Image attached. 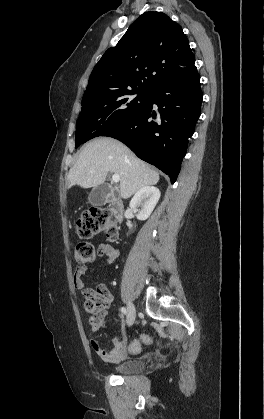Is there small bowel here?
<instances>
[{
    "instance_id": "obj_1",
    "label": "small bowel",
    "mask_w": 264,
    "mask_h": 419,
    "mask_svg": "<svg viewBox=\"0 0 264 419\" xmlns=\"http://www.w3.org/2000/svg\"><path fill=\"white\" fill-rule=\"evenodd\" d=\"M97 253L99 256L106 258L109 264H114L118 257L117 249L108 243H101L97 248ZM87 271V266H78L74 273L73 282L75 288L80 290L83 296L93 297L99 302L96 324L92 326V330L97 331L106 327V309L112 300V294L107 286L102 283L97 284L95 289L86 287L83 276ZM90 344L94 352L102 360L109 363H118L127 357L128 352H136L132 349L131 344L128 345L123 328H121L120 336L112 339V346L109 349L102 347L99 341L95 339H92Z\"/></svg>"
}]
</instances>
